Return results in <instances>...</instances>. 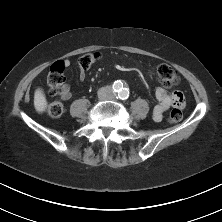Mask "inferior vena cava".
<instances>
[{
	"label": "inferior vena cava",
	"instance_id": "obj_1",
	"mask_svg": "<svg viewBox=\"0 0 222 222\" xmlns=\"http://www.w3.org/2000/svg\"><path fill=\"white\" fill-rule=\"evenodd\" d=\"M98 97L102 100H108L112 98V90L110 87H102L98 91Z\"/></svg>",
	"mask_w": 222,
	"mask_h": 222
}]
</instances>
